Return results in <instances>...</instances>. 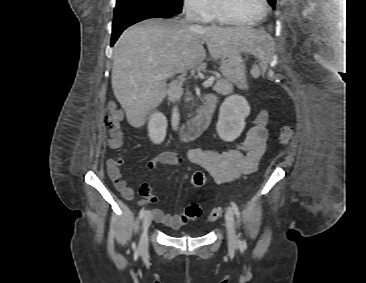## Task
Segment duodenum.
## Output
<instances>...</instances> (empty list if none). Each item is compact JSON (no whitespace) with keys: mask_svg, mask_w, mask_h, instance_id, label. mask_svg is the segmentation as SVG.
Here are the masks:
<instances>
[{"mask_svg":"<svg viewBox=\"0 0 366 283\" xmlns=\"http://www.w3.org/2000/svg\"><path fill=\"white\" fill-rule=\"evenodd\" d=\"M215 106L216 101L213 98H206L198 115L186 125L192 131L193 137H197L208 128Z\"/></svg>","mask_w":366,"mask_h":283,"instance_id":"obj_1","label":"duodenum"}]
</instances>
